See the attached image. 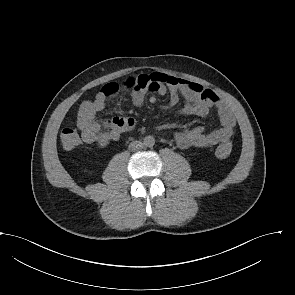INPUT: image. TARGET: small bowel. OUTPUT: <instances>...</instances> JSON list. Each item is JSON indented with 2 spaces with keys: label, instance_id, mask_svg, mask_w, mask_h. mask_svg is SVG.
<instances>
[{
  "label": "small bowel",
  "instance_id": "1",
  "mask_svg": "<svg viewBox=\"0 0 295 295\" xmlns=\"http://www.w3.org/2000/svg\"><path fill=\"white\" fill-rule=\"evenodd\" d=\"M133 83L132 102L139 107L143 104L147 92L160 95L168 93V103L162 110L176 106L182 97L185 101L180 110L184 115L206 116L215 108L217 110L221 126L210 132H206L202 126L178 131L174 140L181 149L210 148L229 140L235 127V118L228 105L212 90L194 82L175 76L154 72L133 76L124 81ZM100 91L93 100L84 101L79 108L77 126L81 132L83 142L105 146L111 141H116L120 136L135 127V121L129 117H114L103 122L96 120V114L104 109L106 101L113 97ZM150 103L156 102L152 95Z\"/></svg>",
  "mask_w": 295,
  "mask_h": 295
}]
</instances>
